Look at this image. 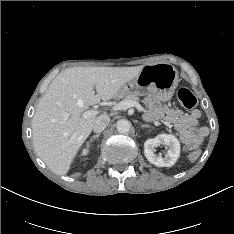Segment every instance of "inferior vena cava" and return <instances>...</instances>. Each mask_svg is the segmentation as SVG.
<instances>
[{
  "mask_svg": "<svg viewBox=\"0 0 234 234\" xmlns=\"http://www.w3.org/2000/svg\"><path fill=\"white\" fill-rule=\"evenodd\" d=\"M109 122L110 117L108 115L98 116L93 125V131L95 133H101L108 126Z\"/></svg>",
  "mask_w": 234,
  "mask_h": 234,
  "instance_id": "inferior-vena-cava-1",
  "label": "inferior vena cava"
}]
</instances>
